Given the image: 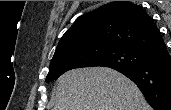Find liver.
I'll list each match as a JSON object with an SVG mask.
<instances>
[{
  "label": "liver",
  "instance_id": "liver-1",
  "mask_svg": "<svg viewBox=\"0 0 171 110\" xmlns=\"http://www.w3.org/2000/svg\"><path fill=\"white\" fill-rule=\"evenodd\" d=\"M53 110H151L138 87L106 67L78 68L57 80Z\"/></svg>",
  "mask_w": 171,
  "mask_h": 110
}]
</instances>
